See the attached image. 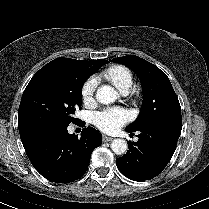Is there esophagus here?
<instances>
[{
  "label": "esophagus",
  "instance_id": "obj_1",
  "mask_svg": "<svg viewBox=\"0 0 209 209\" xmlns=\"http://www.w3.org/2000/svg\"><path fill=\"white\" fill-rule=\"evenodd\" d=\"M102 140L103 142H109V141H112L113 138L107 135H103Z\"/></svg>",
  "mask_w": 209,
  "mask_h": 209
}]
</instances>
